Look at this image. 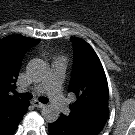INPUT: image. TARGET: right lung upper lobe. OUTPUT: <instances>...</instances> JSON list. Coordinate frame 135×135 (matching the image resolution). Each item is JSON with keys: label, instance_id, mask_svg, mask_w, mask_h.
Returning a JSON list of instances; mask_svg holds the SVG:
<instances>
[{"label": "right lung upper lobe", "instance_id": "1", "mask_svg": "<svg viewBox=\"0 0 135 135\" xmlns=\"http://www.w3.org/2000/svg\"><path fill=\"white\" fill-rule=\"evenodd\" d=\"M40 40L10 35L0 40V128L15 124L25 112L27 101L11 96L22 59Z\"/></svg>", "mask_w": 135, "mask_h": 135}]
</instances>
